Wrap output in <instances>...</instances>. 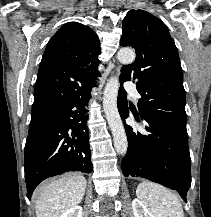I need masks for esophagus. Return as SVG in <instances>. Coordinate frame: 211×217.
<instances>
[{
	"mask_svg": "<svg viewBox=\"0 0 211 217\" xmlns=\"http://www.w3.org/2000/svg\"><path fill=\"white\" fill-rule=\"evenodd\" d=\"M118 70H119V69L117 68V69H116V73H118Z\"/></svg>",
	"mask_w": 211,
	"mask_h": 217,
	"instance_id": "obj_1",
	"label": "esophagus"
}]
</instances>
